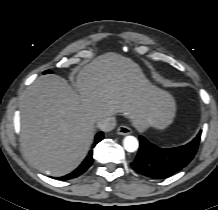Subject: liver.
Returning <instances> with one entry per match:
<instances>
[{"label": "liver", "instance_id": "6515ba94", "mask_svg": "<svg viewBox=\"0 0 218 210\" xmlns=\"http://www.w3.org/2000/svg\"><path fill=\"white\" fill-rule=\"evenodd\" d=\"M77 92L57 75H45L27 88L20 102L21 142L32 164L63 176L85 158L95 124L121 113L141 131L165 129L176 104L154 86L131 59L107 53L77 74Z\"/></svg>", "mask_w": 218, "mask_h": 210}]
</instances>
